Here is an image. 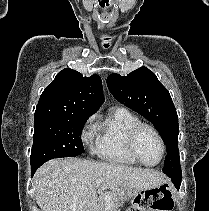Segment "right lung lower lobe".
Wrapping results in <instances>:
<instances>
[{"mask_svg": "<svg viewBox=\"0 0 209 211\" xmlns=\"http://www.w3.org/2000/svg\"><path fill=\"white\" fill-rule=\"evenodd\" d=\"M38 167H31V174L33 175Z\"/></svg>", "mask_w": 209, "mask_h": 211, "instance_id": "right-lung-lower-lobe-1", "label": "right lung lower lobe"}]
</instances>
